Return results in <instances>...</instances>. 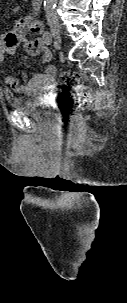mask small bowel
Instances as JSON below:
<instances>
[{
    "label": "small bowel",
    "instance_id": "small-bowel-1",
    "mask_svg": "<svg viewBox=\"0 0 127 303\" xmlns=\"http://www.w3.org/2000/svg\"><path fill=\"white\" fill-rule=\"evenodd\" d=\"M41 0H31L32 12L14 22L13 29L6 34L0 35V65L5 60L7 55H14L17 46L22 43L27 54L31 56L40 55L43 62L49 63L52 59V53L46 46L43 37V24L35 18L38 13ZM27 30L37 35L32 40H24ZM44 34V33H43ZM3 75L4 83L16 93L34 94L40 87L51 88L55 75V68L48 65L44 72L35 74L31 79L25 73L22 74L23 83L15 76L6 74L3 69H0Z\"/></svg>",
    "mask_w": 127,
    "mask_h": 303
}]
</instances>
